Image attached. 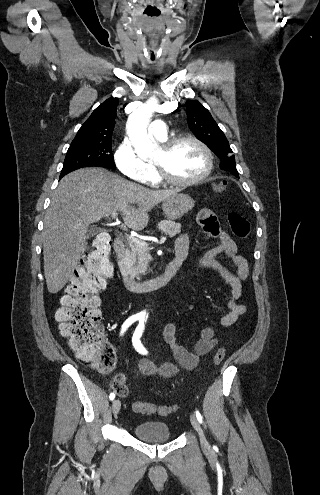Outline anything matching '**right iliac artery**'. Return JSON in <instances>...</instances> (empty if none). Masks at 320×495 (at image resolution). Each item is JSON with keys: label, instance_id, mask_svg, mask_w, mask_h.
<instances>
[{"label": "right iliac artery", "instance_id": "82829eb1", "mask_svg": "<svg viewBox=\"0 0 320 495\" xmlns=\"http://www.w3.org/2000/svg\"><path fill=\"white\" fill-rule=\"evenodd\" d=\"M140 317L138 315H132L130 316L128 319H126V321L123 323L122 325V328H121V335H123V333L127 330V328L132 324L134 323L135 321H137ZM109 398L110 400H113L115 398V393L112 392L110 395H109Z\"/></svg>", "mask_w": 320, "mask_h": 495}]
</instances>
